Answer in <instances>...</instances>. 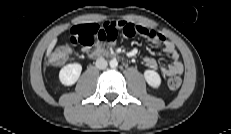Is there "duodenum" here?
<instances>
[{
	"label": "duodenum",
	"mask_w": 231,
	"mask_h": 134,
	"mask_svg": "<svg viewBox=\"0 0 231 134\" xmlns=\"http://www.w3.org/2000/svg\"><path fill=\"white\" fill-rule=\"evenodd\" d=\"M110 55L111 53L106 49H97L91 54V57L92 58H102V57H107Z\"/></svg>",
	"instance_id": "duodenum-1"
}]
</instances>
